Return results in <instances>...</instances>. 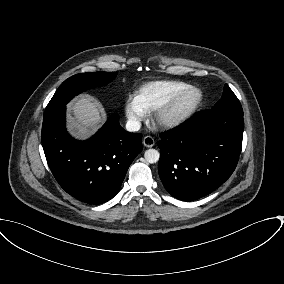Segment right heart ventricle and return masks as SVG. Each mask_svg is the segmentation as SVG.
Returning a JSON list of instances; mask_svg holds the SVG:
<instances>
[{
  "mask_svg": "<svg viewBox=\"0 0 284 284\" xmlns=\"http://www.w3.org/2000/svg\"><path fill=\"white\" fill-rule=\"evenodd\" d=\"M190 87L189 84L176 80L152 81L141 86L135 95L137 102L146 113L156 111L175 95Z\"/></svg>",
  "mask_w": 284,
  "mask_h": 284,
  "instance_id": "1",
  "label": "right heart ventricle"
}]
</instances>
